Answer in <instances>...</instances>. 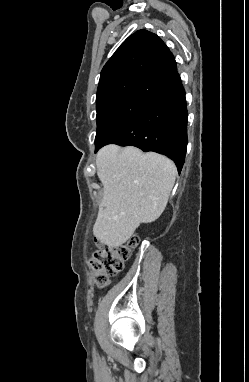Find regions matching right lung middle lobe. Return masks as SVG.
Returning <instances> with one entry per match:
<instances>
[{"mask_svg": "<svg viewBox=\"0 0 249 382\" xmlns=\"http://www.w3.org/2000/svg\"><path fill=\"white\" fill-rule=\"evenodd\" d=\"M149 102L141 98H125L97 108L95 149L126 128Z\"/></svg>", "mask_w": 249, "mask_h": 382, "instance_id": "1", "label": "right lung middle lobe"}]
</instances>
